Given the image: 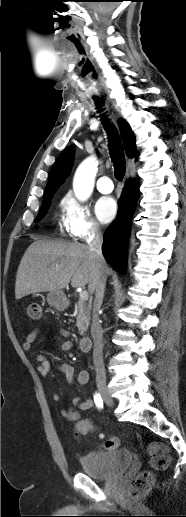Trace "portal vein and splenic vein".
Segmentation results:
<instances>
[{"instance_id":"18ae733b","label":"portal vein and splenic vein","mask_w":186,"mask_h":517,"mask_svg":"<svg viewBox=\"0 0 186 517\" xmlns=\"http://www.w3.org/2000/svg\"><path fill=\"white\" fill-rule=\"evenodd\" d=\"M79 298H80V301H83V302H84V301H87V300H88V298H89V294H88V292H87V291H81V292L79 293Z\"/></svg>"}]
</instances>
